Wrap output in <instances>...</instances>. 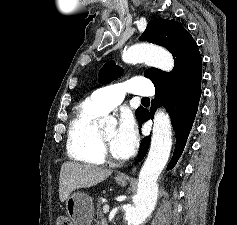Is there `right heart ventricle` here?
I'll return each mask as SVG.
<instances>
[{
	"mask_svg": "<svg viewBox=\"0 0 237 225\" xmlns=\"http://www.w3.org/2000/svg\"><path fill=\"white\" fill-rule=\"evenodd\" d=\"M104 114L90 98L79 106L68 132L67 151L72 159L87 164L104 163L97 125L99 118Z\"/></svg>",
	"mask_w": 237,
	"mask_h": 225,
	"instance_id": "right-heart-ventricle-1",
	"label": "right heart ventricle"
}]
</instances>
